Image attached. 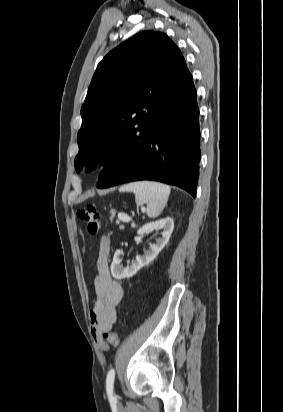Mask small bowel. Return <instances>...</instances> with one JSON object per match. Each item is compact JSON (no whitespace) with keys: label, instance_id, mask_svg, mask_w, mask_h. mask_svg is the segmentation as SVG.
Segmentation results:
<instances>
[{"label":"small bowel","instance_id":"1","mask_svg":"<svg viewBox=\"0 0 283 412\" xmlns=\"http://www.w3.org/2000/svg\"><path fill=\"white\" fill-rule=\"evenodd\" d=\"M110 242L102 238L97 259V275L94 279L95 299L89 311L91 333L102 344V333L112 328L116 321V307L123 298V288L109 270Z\"/></svg>","mask_w":283,"mask_h":412}]
</instances>
